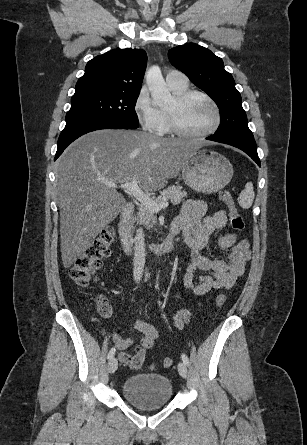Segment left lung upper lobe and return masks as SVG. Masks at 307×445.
<instances>
[{"label": "left lung upper lobe", "instance_id": "left-lung-upper-lobe-1", "mask_svg": "<svg viewBox=\"0 0 307 445\" xmlns=\"http://www.w3.org/2000/svg\"><path fill=\"white\" fill-rule=\"evenodd\" d=\"M168 57L174 67L185 73L219 107L220 126L214 136L253 137L240 93L232 75L224 69L221 58L195 43L172 48Z\"/></svg>", "mask_w": 307, "mask_h": 445}]
</instances>
